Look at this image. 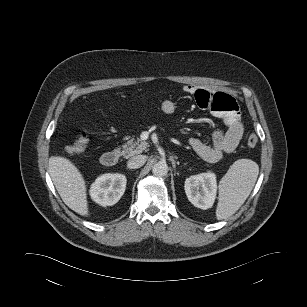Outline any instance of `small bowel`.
I'll return each mask as SVG.
<instances>
[{
    "instance_id": "c3829d8e",
    "label": "small bowel",
    "mask_w": 307,
    "mask_h": 307,
    "mask_svg": "<svg viewBox=\"0 0 307 307\" xmlns=\"http://www.w3.org/2000/svg\"><path fill=\"white\" fill-rule=\"evenodd\" d=\"M183 90L187 94L194 95L200 107L211 110L212 114L220 118L226 126L225 131L217 130L213 133L211 145L197 138L189 140L191 148L202 159L216 162L225 153L232 152L243 136L244 124L237 110V103L232 96L226 93L202 90L195 85H186ZM161 109L165 114H172L176 109L175 102L164 100Z\"/></svg>"
}]
</instances>
